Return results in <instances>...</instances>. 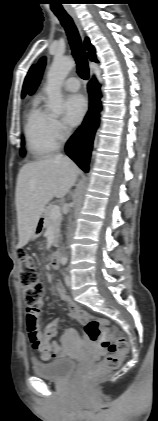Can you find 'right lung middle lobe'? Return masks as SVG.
<instances>
[{"instance_id":"obj_1","label":"right lung middle lobe","mask_w":158,"mask_h":421,"mask_svg":"<svg viewBox=\"0 0 158 421\" xmlns=\"http://www.w3.org/2000/svg\"><path fill=\"white\" fill-rule=\"evenodd\" d=\"M23 145V144H22ZM20 154H21V156H24L25 155V151H24V149H22L21 151H20Z\"/></svg>"}]
</instances>
